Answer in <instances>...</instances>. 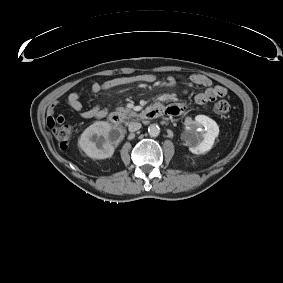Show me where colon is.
<instances>
[{
	"instance_id": "colon-1",
	"label": "colon",
	"mask_w": 283,
	"mask_h": 283,
	"mask_svg": "<svg viewBox=\"0 0 283 283\" xmlns=\"http://www.w3.org/2000/svg\"><path fill=\"white\" fill-rule=\"evenodd\" d=\"M214 112L217 115L225 116L230 112V104L226 100H219L214 104ZM71 133V127L68 124L61 123L54 128V136L58 143L63 146L70 142Z\"/></svg>"
}]
</instances>
